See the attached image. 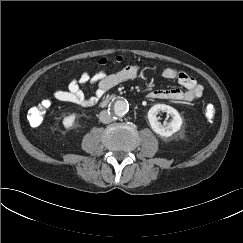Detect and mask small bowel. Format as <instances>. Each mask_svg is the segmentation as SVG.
<instances>
[{
  "label": "small bowel",
  "mask_w": 243,
  "mask_h": 243,
  "mask_svg": "<svg viewBox=\"0 0 243 243\" xmlns=\"http://www.w3.org/2000/svg\"><path fill=\"white\" fill-rule=\"evenodd\" d=\"M140 71L141 68L139 66L129 65L111 74L101 71L94 76H90L84 72L69 82L67 90H56L54 97L59 101L79 107H92L97 104L107 91L120 83L135 79L140 74ZM161 75L168 80H177L185 90L178 88L155 89L147 94L148 98L192 102L201 97L202 86L188 73L174 68H166L162 70ZM84 85H97L94 95L87 97L82 91Z\"/></svg>",
  "instance_id": "c3829d8e"
}]
</instances>
